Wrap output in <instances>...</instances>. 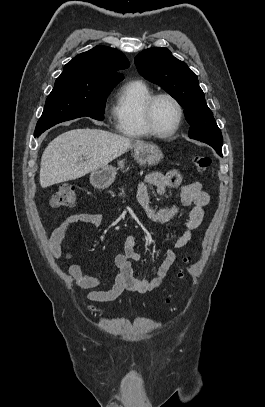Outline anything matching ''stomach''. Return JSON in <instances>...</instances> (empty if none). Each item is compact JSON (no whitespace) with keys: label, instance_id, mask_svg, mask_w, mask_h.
I'll use <instances>...</instances> for the list:
<instances>
[{"label":"stomach","instance_id":"stomach-1","mask_svg":"<svg viewBox=\"0 0 265 407\" xmlns=\"http://www.w3.org/2000/svg\"><path fill=\"white\" fill-rule=\"evenodd\" d=\"M134 158L140 165H156L163 154L159 147L150 143H143L134 147ZM121 168L124 167V161L119 162ZM117 169L107 165L91 172L90 183L98 189L109 187L115 180Z\"/></svg>","mask_w":265,"mask_h":407}]
</instances>
